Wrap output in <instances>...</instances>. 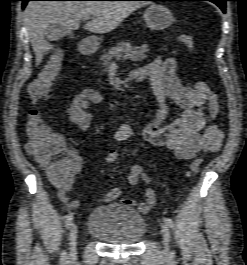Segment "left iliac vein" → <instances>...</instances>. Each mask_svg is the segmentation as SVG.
I'll return each mask as SVG.
<instances>
[{
    "instance_id": "1",
    "label": "left iliac vein",
    "mask_w": 247,
    "mask_h": 265,
    "mask_svg": "<svg viewBox=\"0 0 247 265\" xmlns=\"http://www.w3.org/2000/svg\"><path fill=\"white\" fill-rule=\"evenodd\" d=\"M161 233L163 236V253L165 256H169L170 231L167 224L163 223L161 225Z\"/></svg>"
}]
</instances>
